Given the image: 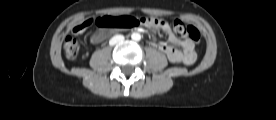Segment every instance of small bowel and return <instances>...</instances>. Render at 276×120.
Returning <instances> with one entry per match:
<instances>
[{
	"mask_svg": "<svg viewBox=\"0 0 276 120\" xmlns=\"http://www.w3.org/2000/svg\"><path fill=\"white\" fill-rule=\"evenodd\" d=\"M152 30H160L164 32L168 37V42H152V45L161 51L167 59L172 63H180L184 65H191L196 60V54L194 52V44L188 39H179L172 31L169 24L161 20L159 23L145 24ZM73 33H82L78 31L77 26L73 28ZM106 34L104 32H96L91 36V42L93 44H100Z\"/></svg>",
	"mask_w": 276,
	"mask_h": 120,
	"instance_id": "1",
	"label": "small bowel"
}]
</instances>
